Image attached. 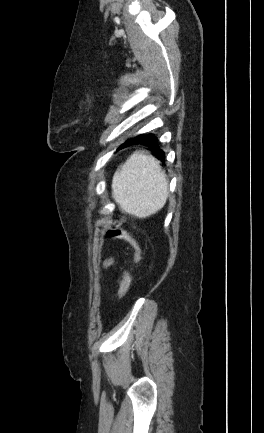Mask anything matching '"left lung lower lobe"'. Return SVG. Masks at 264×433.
<instances>
[{
    "label": "left lung lower lobe",
    "mask_w": 264,
    "mask_h": 433,
    "mask_svg": "<svg viewBox=\"0 0 264 433\" xmlns=\"http://www.w3.org/2000/svg\"><path fill=\"white\" fill-rule=\"evenodd\" d=\"M132 144H141L147 146L152 154L161 160L162 162L165 161V154L164 151L160 149L158 139L155 137L154 134H140L137 135L129 140H127L124 144H122L119 149L124 148L128 145Z\"/></svg>",
    "instance_id": "0a47b994"
}]
</instances>
